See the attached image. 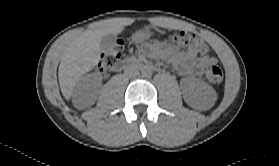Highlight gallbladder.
Instances as JSON below:
<instances>
[{"instance_id":"obj_1","label":"gallbladder","mask_w":279,"mask_h":166,"mask_svg":"<svg viewBox=\"0 0 279 166\" xmlns=\"http://www.w3.org/2000/svg\"><path fill=\"white\" fill-rule=\"evenodd\" d=\"M115 44L116 37L112 33L105 35L100 41V47L104 53H109L115 47Z\"/></svg>"}]
</instances>
